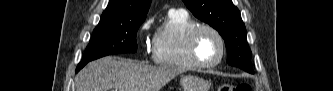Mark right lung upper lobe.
Returning a JSON list of instances; mask_svg holds the SVG:
<instances>
[{
	"label": "right lung upper lobe",
	"instance_id": "1",
	"mask_svg": "<svg viewBox=\"0 0 333 91\" xmlns=\"http://www.w3.org/2000/svg\"><path fill=\"white\" fill-rule=\"evenodd\" d=\"M151 0H110L101 18L132 19L146 17Z\"/></svg>",
	"mask_w": 333,
	"mask_h": 91
}]
</instances>
